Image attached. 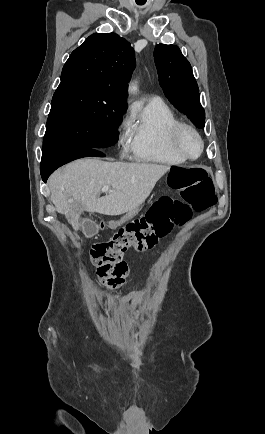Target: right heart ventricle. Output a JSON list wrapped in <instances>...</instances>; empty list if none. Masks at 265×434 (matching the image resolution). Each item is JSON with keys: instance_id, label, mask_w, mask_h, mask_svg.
<instances>
[{"instance_id": "e07e8e85", "label": "right heart ventricle", "mask_w": 265, "mask_h": 434, "mask_svg": "<svg viewBox=\"0 0 265 434\" xmlns=\"http://www.w3.org/2000/svg\"><path fill=\"white\" fill-rule=\"evenodd\" d=\"M129 122L128 152L133 160L167 166L185 163L176 154L171 140L180 121L165 101L155 98L137 106Z\"/></svg>"}]
</instances>
